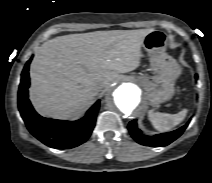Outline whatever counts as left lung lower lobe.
<instances>
[{
	"instance_id": "0a47b994",
	"label": "left lung lower lobe",
	"mask_w": 212,
	"mask_h": 183,
	"mask_svg": "<svg viewBox=\"0 0 212 183\" xmlns=\"http://www.w3.org/2000/svg\"><path fill=\"white\" fill-rule=\"evenodd\" d=\"M195 77L197 79V75ZM187 126H188V123L175 131L158 134L151 137L144 136L141 134V131L137 128L136 120H133L129 123L128 129L130 131L131 136L139 144H142L145 146H152V147H161V146H166L170 144L171 142H173L174 140H176L184 132Z\"/></svg>"
}]
</instances>
